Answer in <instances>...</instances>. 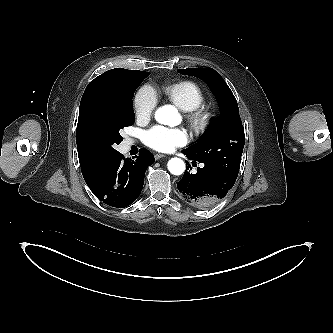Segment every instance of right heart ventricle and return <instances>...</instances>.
<instances>
[{
	"label": "right heart ventricle",
	"mask_w": 333,
	"mask_h": 333,
	"mask_svg": "<svg viewBox=\"0 0 333 333\" xmlns=\"http://www.w3.org/2000/svg\"><path fill=\"white\" fill-rule=\"evenodd\" d=\"M164 94L177 107L186 112L201 106L205 101V94L202 88L190 80L166 85Z\"/></svg>",
	"instance_id": "right-heart-ventricle-1"
}]
</instances>
